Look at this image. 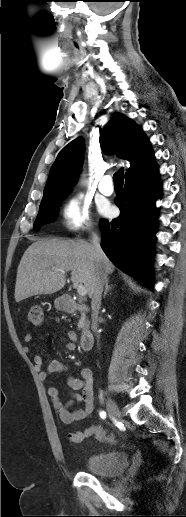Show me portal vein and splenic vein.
Listing matches in <instances>:
<instances>
[{"label": "portal vein and splenic vein", "mask_w": 186, "mask_h": 517, "mask_svg": "<svg viewBox=\"0 0 186 517\" xmlns=\"http://www.w3.org/2000/svg\"><path fill=\"white\" fill-rule=\"evenodd\" d=\"M53 269H56V268H53ZM76 289L80 296H85L87 294V291L82 284L76 285Z\"/></svg>", "instance_id": "obj_1"}]
</instances>
